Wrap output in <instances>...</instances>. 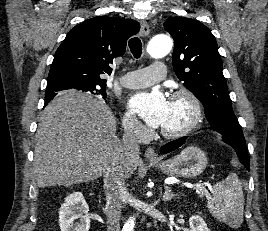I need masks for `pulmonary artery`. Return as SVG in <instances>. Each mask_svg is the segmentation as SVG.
Segmentation results:
<instances>
[{"mask_svg": "<svg viewBox=\"0 0 268 231\" xmlns=\"http://www.w3.org/2000/svg\"><path fill=\"white\" fill-rule=\"evenodd\" d=\"M166 67L163 63H152L141 69L127 73L122 84L127 88H142L155 84L165 76Z\"/></svg>", "mask_w": 268, "mask_h": 231, "instance_id": "1", "label": "pulmonary artery"}]
</instances>
